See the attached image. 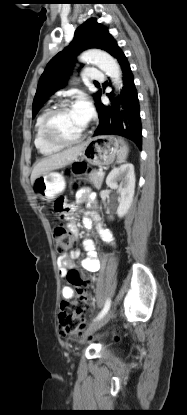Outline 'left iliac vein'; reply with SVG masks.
<instances>
[{
    "label": "left iliac vein",
    "mask_w": 187,
    "mask_h": 415,
    "mask_svg": "<svg viewBox=\"0 0 187 415\" xmlns=\"http://www.w3.org/2000/svg\"><path fill=\"white\" fill-rule=\"evenodd\" d=\"M114 316V309H111L109 312H107L101 319H99L97 322L91 324L86 333L85 338L100 329L102 326H104L112 317Z\"/></svg>",
    "instance_id": "4c4485c4"
}]
</instances>
